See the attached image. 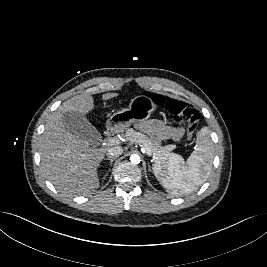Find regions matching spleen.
Listing matches in <instances>:
<instances>
[{
	"label": "spleen",
	"instance_id": "3e777b00",
	"mask_svg": "<svg viewBox=\"0 0 267 267\" xmlns=\"http://www.w3.org/2000/svg\"><path fill=\"white\" fill-rule=\"evenodd\" d=\"M214 146L210 129L202 127L197 134L196 148L185 163L174 155L153 164V172L166 189L174 196H183L199 188L208 178L213 161Z\"/></svg>",
	"mask_w": 267,
	"mask_h": 267
}]
</instances>
